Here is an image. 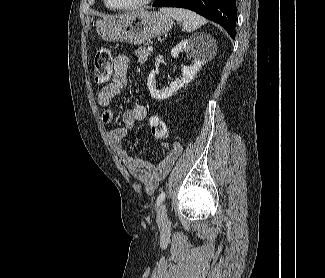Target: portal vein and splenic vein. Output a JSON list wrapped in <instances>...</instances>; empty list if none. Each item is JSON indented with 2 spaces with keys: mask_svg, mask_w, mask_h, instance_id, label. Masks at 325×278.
Listing matches in <instances>:
<instances>
[{
  "mask_svg": "<svg viewBox=\"0 0 325 278\" xmlns=\"http://www.w3.org/2000/svg\"><path fill=\"white\" fill-rule=\"evenodd\" d=\"M148 51H153V47L152 46H148Z\"/></svg>",
  "mask_w": 325,
  "mask_h": 278,
  "instance_id": "1",
  "label": "portal vein and splenic vein"
}]
</instances>
